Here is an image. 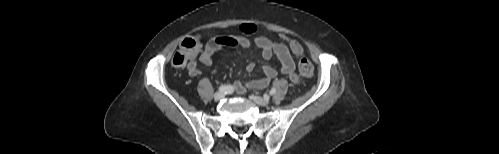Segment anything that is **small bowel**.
I'll use <instances>...</instances> for the list:
<instances>
[{
    "mask_svg": "<svg viewBox=\"0 0 499 154\" xmlns=\"http://www.w3.org/2000/svg\"><path fill=\"white\" fill-rule=\"evenodd\" d=\"M240 31L244 34H252L256 31V26L253 24H242ZM255 45L260 49L262 56L265 59H270L275 56L280 64V71L286 75L293 84H298L299 77L295 71V63L292 56V50L282 43H275L269 38L258 35L251 41L241 36H218L209 40L203 49L200 61L205 65H211L215 53L221 48H250ZM255 64L250 62L246 66L248 72L253 71ZM188 71L191 76H197L201 73L196 62L188 65ZM277 70L271 65L263 67V77L250 80L248 82H236L235 89L239 94H244L247 89H263L277 76Z\"/></svg>",
    "mask_w": 499,
    "mask_h": 154,
    "instance_id": "1",
    "label": "small bowel"
}]
</instances>
